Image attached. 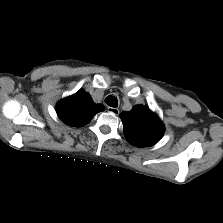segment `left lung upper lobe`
<instances>
[{"instance_id":"obj_1","label":"left lung upper lobe","mask_w":223,"mask_h":223,"mask_svg":"<svg viewBox=\"0 0 223 223\" xmlns=\"http://www.w3.org/2000/svg\"><path fill=\"white\" fill-rule=\"evenodd\" d=\"M127 141L137 147L156 144L164 134V125L149 107L136 105L130 112L120 114Z\"/></svg>"}]
</instances>
